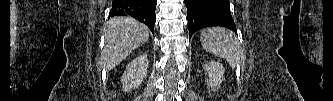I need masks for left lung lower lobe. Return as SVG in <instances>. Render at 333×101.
Wrapping results in <instances>:
<instances>
[{
    "label": "left lung lower lobe",
    "instance_id": "left-lung-lower-lobe-1",
    "mask_svg": "<svg viewBox=\"0 0 333 101\" xmlns=\"http://www.w3.org/2000/svg\"><path fill=\"white\" fill-rule=\"evenodd\" d=\"M189 38L199 29L223 26L237 32L230 13L229 0H185Z\"/></svg>",
    "mask_w": 333,
    "mask_h": 101
}]
</instances>
